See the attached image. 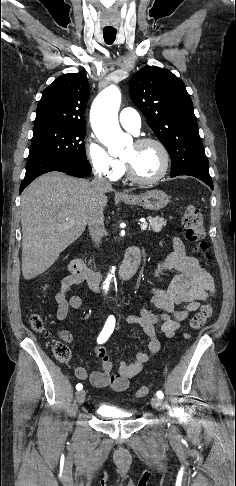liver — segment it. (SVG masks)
<instances>
[{
	"mask_svg": "<svg viewBox=\"0 0 236 486\" xmlns=\"http://www.w3.org/2000/svg\"><path fill=\"white\" fill-rule=\"evenodd\" d=\"M112 188L105 191L110 192ZM96 196L91 183L61 172L34 180L21 195L22 274L30 280L44 273L60 253L85 231L107 197Z\"/></svg>",
	"mask_w": 236,
	"mask_h": 486,
	"instance_id": "6515ba94",
	"label": "liver"
}]
</instances>
